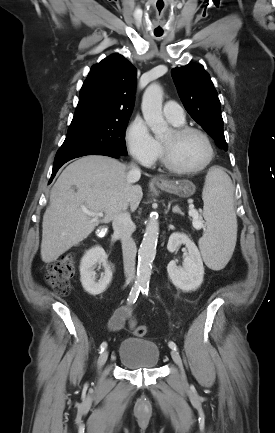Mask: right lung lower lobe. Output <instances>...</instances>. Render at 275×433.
Listing matches in <instances>:
<instances>
[{
	"label": "right lung lower lobe",
	"instance_id": "obj_1",
	"mask_svg": "<svg viewBox=\"0 0 275 433\" xmlns=\"http://www.w3.org/2000/svg\"><path fill=\"white\" fill-rule=\"evenodd\" d=\"M85 155H105V156H110L113 158H119L120 155L113 153V152H108V151H97V152H92V153H88V154H82V155H74V156H68V157H64V158H60V159H56L54 161V166H53V171H52V175H51V179L50 182L53 180L55 174L57 173V171L59 170V168L65 164L66 162H68L69 160H72L74 158L77 157H81V156H85ZM49 182V183H50Z\"/></svg>",
	"mask_w": 275,
	"mask_h": 433
}]
</instances>
